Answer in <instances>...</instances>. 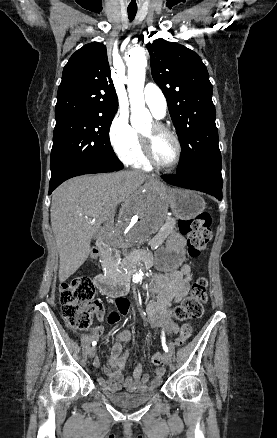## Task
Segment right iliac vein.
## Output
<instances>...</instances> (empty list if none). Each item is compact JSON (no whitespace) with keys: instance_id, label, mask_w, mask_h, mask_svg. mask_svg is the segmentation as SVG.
Masks as SVG:
<instances>
[{"instance_id":"right-iliac-vein-1","label":"right iliac vein","mask_w":277,"mask_h":438,"mask_svg":"<svg viewBox=\"0 0 277 438\" xmlns=\"http://www.w3.org/2000/svg\"><path fill=\"white\" fill-rule=\"evenodd\" d=\"M95 353H96V348L95 347H90L89 350H88L89 358H93Z\"/></svg>"}]
</instances>
